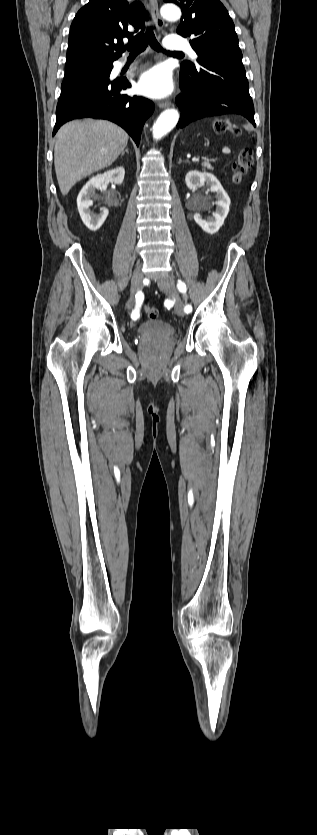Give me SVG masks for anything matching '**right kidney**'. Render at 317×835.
I'll use <instances>...</instances> for the list:
<instances>
[{"label":"right kidney","instance_id":"right-kidney-1","mask_svg":"<svg viewBox=\"0 0 317 835\" xmlns=\"http://www.w3.org/2000/svg\"><path fill=\"white\" fill-rule=\"evenodd\" d=\"M125 170L123 167H117L113 170H109L103 174H98L92 177L82 188L80 193L77 197V207L80 214V217L85 224V226L91 230L96 231L98 230L102 224L104 223L105 219L108 216L109 210L107 208H103L99 215H96L91 212L90 206L93 204L91 197L93 196L95 189L101 188L107 185L109 182L115 184H122L124 181Z\"/></svg>","mask_w":317,"mask_h":835}]
</instances>
